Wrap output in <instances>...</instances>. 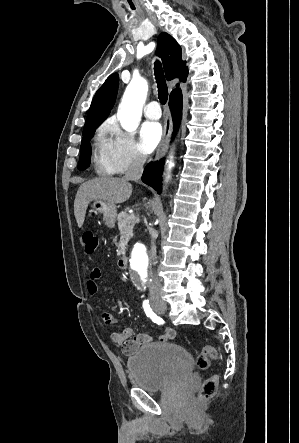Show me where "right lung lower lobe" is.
Returning <instances> with one entry per match:
<instances>
[{
    "label": "right lung lower lobe",
    "mask_w": 299,
    "mask_h": 443,
    "mask_svg": "<svg viewBox=\"0 0 299 443\" xmlns=\"http://www.w3.org/2000/svg\"><path fill=\"white\" fill-rule=\"evenodd\" d=\"M169 105L172 111L173 122H174V132L176 133L182 112V92L181 89L177 88L170 94ZM164 159L150 163L145 167L144 173L142 175V181L154 188L158 193H161L162 188V171H163Z\"/></svg>",
    "instance_id": "right-lung-lower-lobe-1"
}]
</instances>
